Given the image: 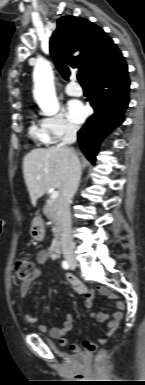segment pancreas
<instances>
[{
	"label": "pancreas",
	"instance_id": "obj_1",
	"mask_svg": "<svg viewBox=\"0 0 145 385\" xmlns=\"http://www.w3.org/2000/svg\"><path fill=\"white\" fill-rule=\"evenodd\" d=\"M43 213L53 223V231L57 235L60 229V216L57 200L49 198L45 203Z\"/></svg>",
	"mask_w": 145,
	"mask_h": 385
}]
</instances>
